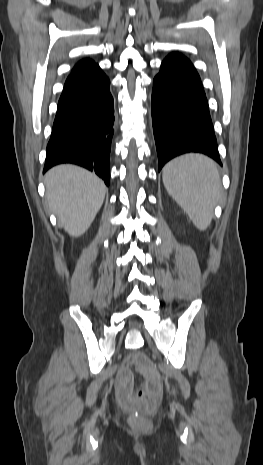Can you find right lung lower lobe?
Segmentation results:
<instances>
[{"instance_id":"right-lung-lower-lobe-1","label":"right lung lower lobe","mask_w":263,"mask_h":465,"mask_svg":"<svg viewBox=\"0 0 263 465\" xmlns=\"http://www.w3.org/2000/svg\"><path fill=\"white\" fill-rule=\"evenodd\" d=\"M110 80L100 67L72 72L58 102L44 172L61 163L95 171L110 183L114 105Z\"/></svg>"}]
</instances>
